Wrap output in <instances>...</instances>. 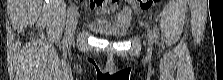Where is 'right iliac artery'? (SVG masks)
<instances>
[{
    "instance_id": "1",
    "label": "right iliac artery",
    "mask_w": 223,
    "mask_h": 80,
    "mask_svg": "<svg viewBox=\"0 0 223 80\" xmlns=\"http://www.w3.org/2000/svg\"><path fill=\"white\" fill-rule=\"evenodd\" d=\"M75 10H76V7L74 5H71L70 8L68 9L67 26H66V32H65V37H64V42L65 43L68 40L69 26H70V22H71V19H72V16H73Z\"/></svg>"
}]
</instances>
